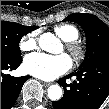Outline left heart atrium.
I'll list each match as a JSON object with an SVG mask.
<instances>
[{
	"label": "left heart atrium",
	"instance_id": "39dd6f15",
	"mask_svg": "<svg viewBox=\"0 0 109 109\" xmlns=\"http://www.w3.org/2000/svg\"><path fill=\"white\" fill-rule=\"evenodd\" d=\"M24 70L42 80H54L72 68V60L66 54L48 55L33 53L24 59Z\"/></svg>",
	"mask_w": 109,
	"mask_h": 109
}]
</instances>
